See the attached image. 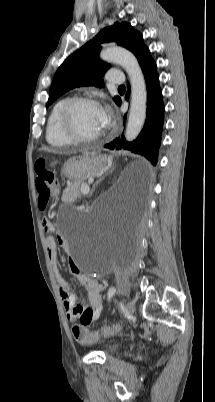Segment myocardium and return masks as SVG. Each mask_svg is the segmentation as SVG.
Returning a JSON list of instances; mask_svg holds the SVG:
<instances>
[{
    "label": "myocardium",
    "instance_id": "obj_1",
    "mask_svg": "<svg viewBox=\"0 0 215 402\" xmlns=\"http://www.w3.org/2000/svg\"><path fill=\"white\" fill-rule=\"evenodd\" d=\"M81 104H92L101 108V104L98 100L87 96H76L68 99L62 106L59 113V127L61 132L70 141L74 143H91L103 136V132L97 133L92 136H83L79 134L73 127L72 113L74 109Z\"/></svg>",
    "mask_w": 215,
    "mask_h": 402
}]
</instances>
